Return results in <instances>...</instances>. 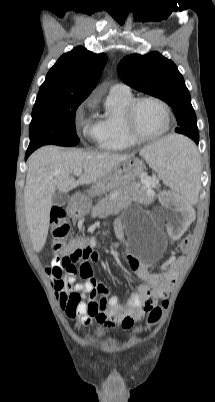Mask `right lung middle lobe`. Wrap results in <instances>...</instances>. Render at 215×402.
I'll use <instances>...</instances> for the list:
<instances>
[{
    "label": "right lung middle lobe",
    "mask_w": 215,
    "mask_h": 402,
    "mask_svg": "<svg viewBox=\"0 0 215 402\" xmlns=\"http://www.w3.org/2000/svg\"><path fill=\"white\" fill-rule=\"evenodd\" d=\"M85 98L37 95L29 127V151L46 144L75 146V112Z\"/></svg>",
    "instance_id": "dd1d6c3e"
}]
</instances>
